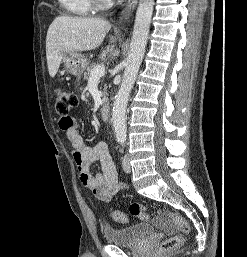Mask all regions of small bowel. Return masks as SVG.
<instances>
[{
  "label": "small bowel",
  "mask_w": 247,
  "mask_h": 257,
  "mask_svg": "<svg viewBox=\"0 0 247 257\" xmlns=\"http://www.w3.org/2000/svg\"><path fill=\"white\" fill-rule=\"evenodd\" d=\"M59 126L65 131L73 151L72 157L79 171L82 184L88 188L99 200L108 202L121 191L125 185L118 181L117 170L105 142H98L88 146L80 135L76 121L71 118V124L65 126L59 119ZM99 162L100 172L96 175L90 173L93 163ZM158 224L166 231L173 230L170 223L159 220Z\"/></svg>",
  "instance_id": "small-bowel-1"
}]
</instances>
